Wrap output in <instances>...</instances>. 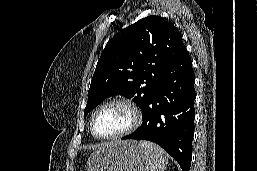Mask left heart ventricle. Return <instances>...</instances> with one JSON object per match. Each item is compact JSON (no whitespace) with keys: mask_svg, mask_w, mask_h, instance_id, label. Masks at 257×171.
Here are the masks:
<instances>
[{"mask_svg":"<svg viewBox=\"0 0 257 171\" xmlns=\"http://www.w3.org/2000/svg\"><path fill=\"white\" fill-rule=\"evenodd\" d=\"M133 115L122 105H112L101 110L95 119V130L99 135L117 134L131 125Z\"/></svg>","mask_w":257,"mask_h":171,"instance_id":"left-heart-ventricle-1","label":"left heart ventricle"}]
</instances>
